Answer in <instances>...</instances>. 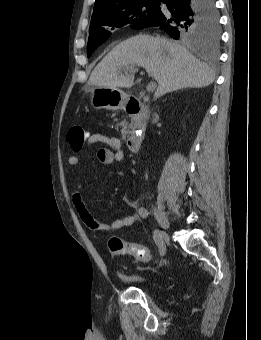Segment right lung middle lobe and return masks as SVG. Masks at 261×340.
Masks as SVG:
<instances>
[{
	"mask_svg": "<svg viewBox=\"0 0 261 340\" xmlns=\"http://www.w3.org/2000/svg\"><path fill=\"white\" fill-rule=\"evenodd\" d=\"M162 0L139 1L117 9L103 18L91 21L87 55L90 57L95 49L105 42L111 31L125 25L134 29L147 27L161 10ZM177 39L182 40H218L220 36L218 14L199 16L197 13L181 22L177 30Z\"/></svg>",
	"mask_w": 261,
	"mask_h": 340,
	"instance_id": "dd1d6c3e",
	"label": "right lung middle lobe"
}]
</instances>
